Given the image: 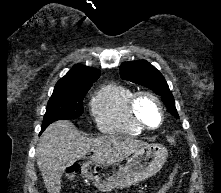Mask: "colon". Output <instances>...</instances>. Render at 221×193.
I'll use <instances>...</instances> for the list:
<instances>
[{
  "label": "colon",
  "instance_id": "1",
  "mask_svg": "<svg viewBox=\"0 0 221 193\" xmlns=\"http://www.w3.org/2000/svg\"><path fill=\"white\" fill-rule=\"evenodd\" d=\"M78 168H79L78 165L72 166L71 169H70V173L73 174V173L77 172ZM176 172H177V168H176V169L174 170V172L172 173V176H171L170 180H169L167 183H165V184L159 189V191L163 188L166 193L168 192V190L171 188V186H172V184H173V179H174V176H175ZM159 191H158L157 193H159Z\"/></svg>",
  "mask_w": 221,
  "mask_h": 193
}]
</instances>
